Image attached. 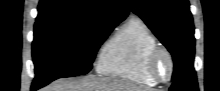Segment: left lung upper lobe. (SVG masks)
Here are the masks:
<instances>
[{
    "instance_id": "obj_1",
    "label": "left lung upper lobe",
    "mask_w": 220,
    "mask_h": 91,
    "mask_svg": "<svg viewBox=\"0 0 220 91\" xmlns=\"http://www.w3.org/2000/svg\"><path fill=\"white\" fill-rule=\"evenodd\" d=\"M173 56L170 91H198L193 67L195 38L188 0H127Z\"/></svg>"
}]
</instances>
